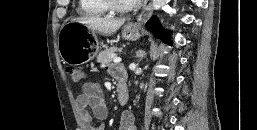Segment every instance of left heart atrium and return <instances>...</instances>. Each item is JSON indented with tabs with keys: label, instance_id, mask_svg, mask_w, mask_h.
Segmentation results:
<instances>
[{
	"label": "left heart atrium",
	"instance_id": "left-heart-atrium-1",
	"mask_svg": "<svg viewBox=\"0 0 257 130\" xmlns=\"http://www.w3.org/2000/svg\"><path fill=\"white\" fill-rule=\"evenodd\" d=\"M140 1H142V0H136V2H140Z\"/></svg>",
	"mask_w": 257,
	"mask_h": 130
}]
</instances>
